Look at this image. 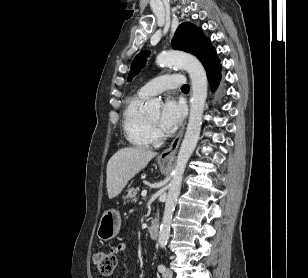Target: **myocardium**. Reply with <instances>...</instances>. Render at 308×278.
<instances>
[{
    "label": "myocardium",
    "mask_w": 308,
    "mask_h": 278,
    "mask_svg": "<svg viewBox=\"0 0 308 278\" xmlns=\"http://www.w3.org/2000/svg\"><path fill=\"white\" fill-rule=\"evenodd\" d=\"M148 122H149L151 125H154V122L150 121L149 119H148Z\"/></svg>",
    "instance_id": "obj_1"
}]
</instances>
